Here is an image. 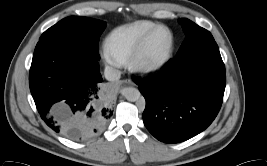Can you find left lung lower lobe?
<instances>
[{"mask_svg":"<svg viewBox=\"0 0 267 166\" xmlns=\"http://www.w3.org/2000/svg\"><path fill=\"white\" fill-rule=\"evenodd\" d=\"M133 81L146 100L143 122L159 141L179 143L205 130L217 116L226 85L215 41L197 45L149 78Z\"/></svg>","mask_w":267,"mask_h":166,"instance_id":"left-lung-lower-lobe-1","label":"left lung lower lobe"}]
</instances>
